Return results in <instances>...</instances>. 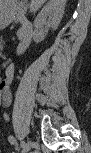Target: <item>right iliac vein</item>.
<instances>
[{"instance_id":"1","label":"right iliac vein","mask_w":91,"mask_h":153,"mask_svg":"<svg viewBox=\"0 0 91 153\" xmlns=\"http://www.w3.org/2000/svg\"><path fill=\"white\" fill-rule=\"evenodd\" d=\"M31 145H32L31 141H28L26 143V146L23 148L24 152H28L31 148Z\"/></svg>"}]
</instances>
